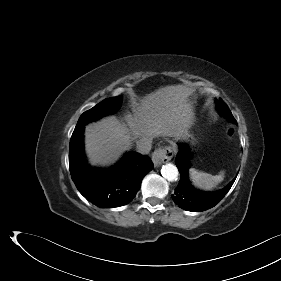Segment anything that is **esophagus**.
Instances as JSON below:
<instances>
[{
    "mask_svg": "<svg viewBox=\"0 0 281 281\" xmlns=\"http://www.w3.org/2000/svg\"><path fill=\"white\" fill-rule=\"evenodd\" d=\"M174 153L171 147L165 146L157 148L152 154V161L155 166H159L162 163L170 161Z\"/></svg>",
    "mask_w": 281,
    "mask_h": 281,
    "instance_id": "esophagus-1",
    "label": "esophagus"
}]
</instances>
